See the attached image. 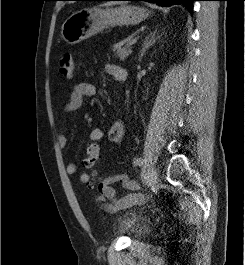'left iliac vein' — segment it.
I'll list each match as a JSON object with an SVG mask.
<instances>
[{
    "label": "left iliac vein",
    "mask_w": 245,
    "mask_h": 265,
    "mask_svg": "<svg viewBox=\"0 0 245 265\" xmlns=\"http://www.w3.org/2000/svg\"><path fill=\"white\" fill-rule=\"evenodd\" d=\"M158 173L154 167H150L147 171V184L154 186L157 183Z\"/></svg>",
    "instance_id": "left-iliac-vein-1"
}]
</instances>
